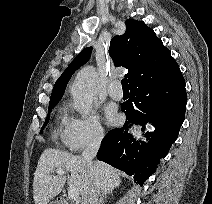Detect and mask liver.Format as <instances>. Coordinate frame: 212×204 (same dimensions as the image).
Here are the masks:
<instances>
[{
	"instance_id": "1",
	"label": "liver",
	"mask_w": 212,
	"mask_h": 204,
	"mask_svg": "<svg viewBox=\"0 0 212 204\" xmlns=\"http://www.w3.org/2000/svg\"><path fill=\"white\" fill-rule=\"evenodd\" d=\"M56 169L71 173L69 188H76L81 196L85 194L91 181L102 192H112L121 183L119 172L104 162L96 161L90 167L80 155L47 148L41 154L34 173L35 204H48L62 191L67 179L64 175H54Z\"/></svg>"
}]
</instances>
